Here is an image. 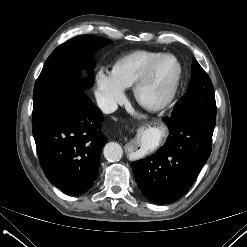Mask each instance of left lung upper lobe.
Returning <instances> with one entry per match:
<instances>
[{
	"mask_svg": "<svg viewBox=\"0 0 247 247\" xmlns=\"http://www.w3.org/2000/svg\"><path fill=\"white\" fill-rule=\"evenodd\" d=\"M192 106H199L210 113L216 114L212 82L195 58H193L192 62V77L188 90L175 104L172 115Z\"/></svg>",
	"mask_w": 247,
	"mask_h": 247,
	"instance_id": "1",
	"label": "left lung upper lobe"
}]
</instances>
